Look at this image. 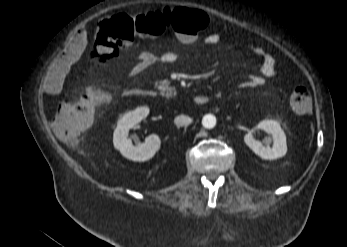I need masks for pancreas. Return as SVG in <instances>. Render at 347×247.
Returning a JSON list of instances; mask_svg holds the SVG:
<instances>
[{"label":"pancreas","instance_id":"obj_1","mask_svg":"<svg viewBox=\"0 0 347 247\" xmlns=\"http://www.w3.org/2000/svg\"><path fill=\"white\" fill-rule=\"evenodd\" d=\"M155 87H157L161 91V95L166 96L167 98L173 96V89L168 86L167 81L156 82Z\"/></svg>","mask_w":347,"mask_h":247}]
</instances>
